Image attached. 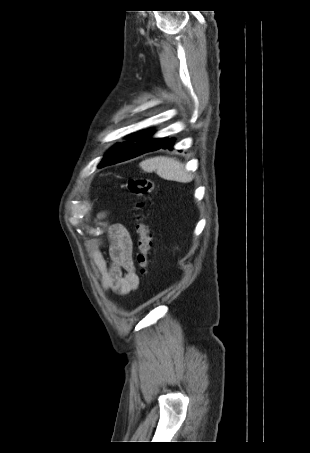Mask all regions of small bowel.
I'll list each match as a JSON object with an SVG mask.
<instances>
[{"instance_id": "obj_1", "label": "small bowel", "mask_w": 310, "mask_h": 453, "mask_svg": "<svg viewBox=\"0 0 310 453\" xmlns=\"http://www.w3.org/2000/svg\"><path fill=\"white\" fill-rule=\"evenodd\" d=\"M109 238L108 259L97 243L90 244V255L100 275L102 289L121 295L135 291L139 277L133 264V243L128 229L121 223H102Z\"/></svg>"}]
</instances>
